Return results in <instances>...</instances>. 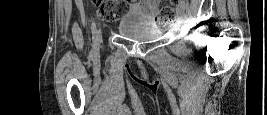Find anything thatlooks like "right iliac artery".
<instances>
[{"mask_svg":"<svg viewBox=\"0 0 267 115\" xmlns=\"http://www.w3.org/2000/svg\"><path fill=\"white\" fill-rule=\"evenodd\" d=\"M91 30H92V34H93L92 39L95 41L96 40L95 37H96V34H97V30H96V24L94 22L92 23Z\"/></svg>","mask_w":267,"mask_h":115,"instance_id":"1","label":"right iliac artery"}]
</instances>
